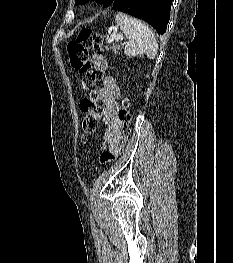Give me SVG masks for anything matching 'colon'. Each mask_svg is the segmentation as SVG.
<instances>
[{"mask_svg": "<svg viewBox=\"0 0 233 263\" xmlns=\"http://www.w3.org/2000/svg\"><path fill=\"white\" fill-rule=\"evenodd\" d=\"M102 50V36L88 28L82 29L77 36L67 44V52L71 67L75 71L86 75L91 81L98 79L100 73L99 70L91 64L89 54L90 52L100 53ZM79 107L82 114V128L84 132L82 140L84 141L87 135L96 131L102 112L94 92L90 93L89 97L81 100ZM129 107V99L124 98L118 113V118L122 125L123 142L116 151H106L101 154L100 162L102 164L114 161L124 147V143L130 132L131 113Z\"/></svg>", "mask_w": 233, "mask_h": 263, "instance_id": "obj_1", "label": "colon"}]
</instances>
